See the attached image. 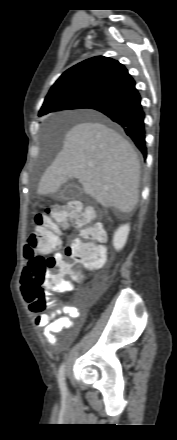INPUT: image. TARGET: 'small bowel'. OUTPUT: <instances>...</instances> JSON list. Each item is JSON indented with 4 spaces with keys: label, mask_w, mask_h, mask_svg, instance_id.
<instances>
[{
    "label": "small bowel",
    "mask_w": 177,
    "mask_h": 440,
    "mask_svg": "<svg viewBox=\"0 0 177 440\" xmlns=\"http://www.w3.org/2000/svg\"><path fill=\"white\" fill-rule=\"evenodd\" d=\"M27 269V265L25 266ZM72 289V284H68L59 292H66ZM81 316L79 308L71 305L55 306L48 313L39 314L35 318V324L43 328V335L52 347H60L68 344L72 340V335L69 334L62 339H59L57 334L68 331L72 332L77 329L74 319Z\"/></svg>",
    "instance_id": "1"
}]
</instances>
